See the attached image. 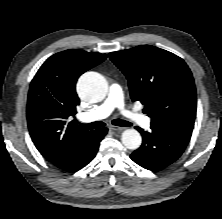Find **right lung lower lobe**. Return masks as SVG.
<instances>
[{"label":"right lung lower lobe","instance_id":"98d812e1","mask_svg":"<svg viewBox=\"0 0 222 219\" xmlns=\"http://www.w3.org/2000/svg\"><path fill=\"white\" fill-rule=\"evenodd\" d=\"M108 129L101 128L91 131L90 135L83 141L72 161L64 168L65 171L75 172L86 166L96 155L100 141L106 135Z\"/></svg>","mask_w":222,"mask_h":219}]
</instances>
